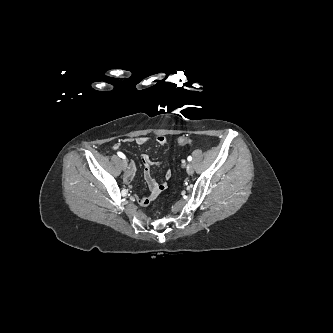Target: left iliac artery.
Here are the masks:
<instances>
[{"mask_svg":"<svg viewBox=\"0 0 333 333\" xmlns=\"http://www.w3.org/2000/svg\"><path fill=\"white\" fill-rule=\"evenodd\" d=\"M187 160H188V161H191V160H192V157H191V156H188Z\"/></svg>","mask_w":333,"mask_h":333,"instance_id":"1","label":"left iliac artery"}]
</instances>
